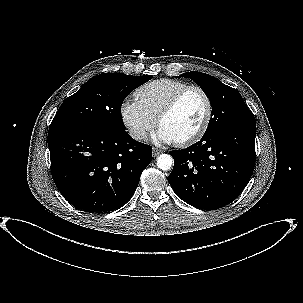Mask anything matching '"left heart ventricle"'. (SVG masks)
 Wrapping results in <instances>:
<instances>
[{
    "label": "left heart ventricle",
    "mask_w": 303,
    "mask_h": 303,
    "mask_svg": "<svg viewBox=\"0 0 303 303\" xmlns=\"http://www.w3.org/2000/svg\"><path fill=\"white\" fill-rule=\"evenodd\" d=\"M206 111L205 100L197 91H190L176 109L166 117L160 127L167 130L176 141L193 134L200 126Z\"/></svg>",
    "instance_id": "b2bd125f"
}]
</instances>
